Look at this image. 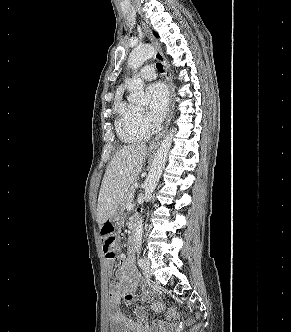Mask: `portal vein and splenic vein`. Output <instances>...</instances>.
I'll return each mask as SVG.
<instances>
[{
	"mask_svg": "<svg viewBox=\"0 0 291 332\" xmlns=\"http://www.w3.org/2000/svg\"><path fill=\"white\" fill-rule=\"evenodd\" d=\"M133 206H134V204L129 203V204H127V209H130V208H132Z\"/></svg>",
	"mask_w": 291,
	"mask_h": 332,
	"instance_id": "obj_1",
	"label": "portal vein and splenic vein"
}]
</instances>
